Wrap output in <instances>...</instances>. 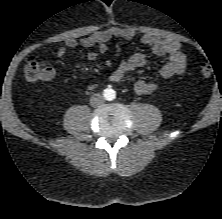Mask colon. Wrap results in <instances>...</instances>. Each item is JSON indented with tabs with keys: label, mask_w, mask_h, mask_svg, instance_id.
<instances>
[{
	"label": "colon",
	"mask_w": 222,
	"mask_h": 219,
	"mask_svg": "<svg viewBox=\"0 0 222 219\" xmlns=\"http://www.w3.org/2000/svg\"><path fill=\"white\" fill-rule=\"evenodd\" d=\"M211 73V66L207 62H202L199 65V74L202 77H209ZM23 74L28 82L35 83L47 78L49 76V71L48 67L42 61L31 56L25 60Z\"/></svg>",
	"instance_id": "obj_1"
}]
</instances>
